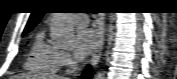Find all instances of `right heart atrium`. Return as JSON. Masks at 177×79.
<instances>
[{
	"mask_svg": "<svg viewBox=\"0 0 177 79\" xmlns=\"http://www.w3.org/2000/svg\"><path fill=\"white\" fill-rule=\"evenodd\" d=\"M72 64L71 56L68 52L60 51L59 65L62 67H69Z\"/></svg>",
	"mask_w": 177,
	"mask_h": 79,
	"instance_id": "d8ad5b80",
	"label": "right heart atrium"
}]
</instances>
